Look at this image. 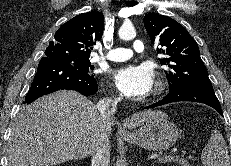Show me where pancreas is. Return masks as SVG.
<instances>
[{
  "mask_svg": "<svg viewBox=\"0 0 231 166\" xmlns=\"http://www.w3.org/2000/svg\"><path fill=\"white\" fill-rule=\"evenodd\" d=\"M161 163H165V162H171V161H177L176 159H171L170 157L167 158H162L159 160Z\"/></svg>",
  "mask_w": 231,
  "mask_h": 166,
  "instance_id": "obj_1",
  "label": "pancreas"
}]
</instances>
